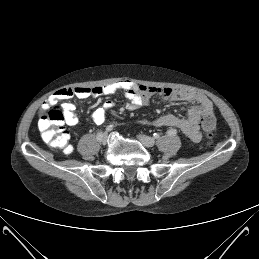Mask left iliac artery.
<instances>
[{
	"label": "left iliac artery",
	"mask_w": 259,
	"mask_h": 259,
	"mask_svg": "<svg viewBox=\"0 0 259 259\" xmlns=\"http://www.w3.org/2000/svg\"><path fill=\"white\" fill-rule=\"evenodd\" d=\"M177 133V130L176 129H169L168 131H167V134L168 135H170V136H173V135H175Z\"/></svg>",
	"instance_id": "obj_1"
}]
</instances>
